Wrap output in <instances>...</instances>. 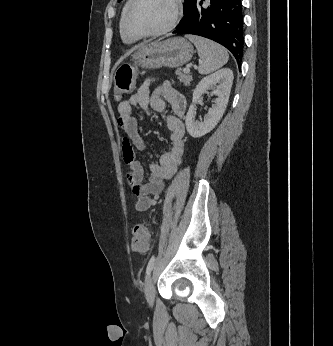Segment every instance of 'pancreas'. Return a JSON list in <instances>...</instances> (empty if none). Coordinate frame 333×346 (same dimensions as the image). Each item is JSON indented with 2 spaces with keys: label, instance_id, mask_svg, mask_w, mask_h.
I'll return each mask as SVG.
<instances>
[{
  "label": "pancreas",
  "instance_id": "pancreas-1",
  "mask_svg": "<svg viewBox=\"0 0 333 346\" xmlns=\"http://www.w3.org/2000/svg\"><path fill=\"white\" fill-rule=\"evenodd\" d=\"M176 75H178L179 81L181 83H183L184 86H190L191 85L192 77L189 74L185 73L181 69H178L176 71Z\"/></svg>",
  "mask_w": 333,
  "mask_h": 346
}]
</instances>
